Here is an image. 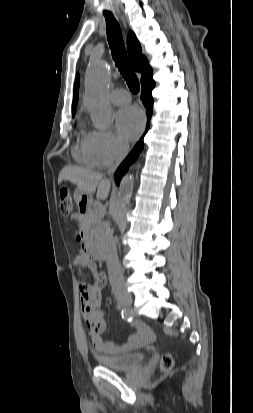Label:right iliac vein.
I'll return each mask as SVG.
<instances>
[{"label": "right iliac vein", "instance_id": "obj_1", "mask_svg": "<svg viewBox=\"0 0 253 413\" xmlns=\"http://www.w3.org/2000/svg\"><path fill=\"white\" fill-rule=\"evenodd\" d=\"M118 300L125 307H129L132 304V296L130 294H120L118 295Z\"/></svg>", "mask_w": 253, "mask_h": 413}]
</instances>
